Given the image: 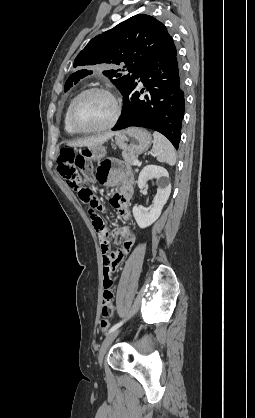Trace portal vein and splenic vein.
Segmentation results:
<instances>
[{
  "label": "portal vein and splenic vein",
  "instance_id": "portal-vein-and-splenic-vein-1",
  "mask_svg": "<svg viewBox=\"0 0 255 418\" xmlns=\"http://www.w3.org/2000/svg\"><path fill=\"white\" fill-rule=\"evenodd\" d=\"M133 165H135V166L139 165V160H135V161L133 162Z\"/></svg>",
  "mask_w": 255,
  "mask_h": 418
}]
</instances>
